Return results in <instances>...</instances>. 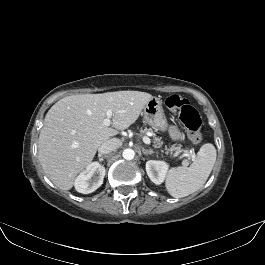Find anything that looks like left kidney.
<instances>
[{"label":"left kidney","instance_id":"obj_1","mask_svg":"<svg viewBox=\"0 0 265 265\" xmlns=\"http://www.w3.org/2000/svg\"><path fill=\"white\" fill-rule=\"evenodd\" d=\"M168 170V164L164 161L149 160L146 162V172L150 180L160 185L163 183Z\"/></svg>","mask_w":265,"mask_h":265}]
</instances>
